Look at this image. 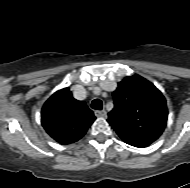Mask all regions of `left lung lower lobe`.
I'll use <instances>...</instances> for the list:
<instances>
[{
	"label": "left lung lower lobe",
	"mask_w": 190,
	"mask_h": 188,
	"mask_svg": "<svg viewBox=\"0 0 190 188\" xmlns=\"http://www.w3.org/2000/svg\"><path fill=\"white\" fill-rule=\"evenodd\" d=\"M113 129L125 143L138 148L147 147L159 138V136L156 135L138 133L117 126H113Z\"/></svg>",
	"instance_id": "left-lung-lower-lobe-1"
}]
</instances>
